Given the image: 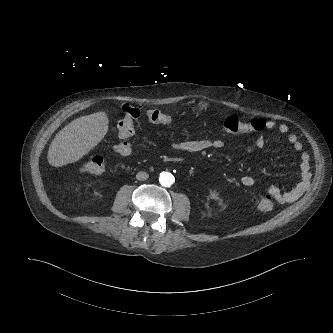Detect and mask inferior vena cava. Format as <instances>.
I'll return each instance as SVG.
<instances>
[{
    "label": "inferior vena cava",
    "mask_w": 333,
    "mask_h": 333,
    "mask_svg": "<svg viewBox=\"0 0 333 333\" xmlns=\"http://www.w3.org/2000/svg\"><path fill=\"white\" fill-rule=\"evenodd\" d=\"M136 178H137V180L144 181V180H147L149 178V175L144 171H140V172L137 173Z\"/></svg>",
    "instance_id": "602c4592"
}]
</instances>
